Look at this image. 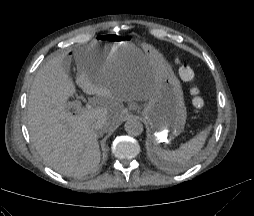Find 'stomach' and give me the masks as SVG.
<instances>
[{"label":"stomach","mask_w":254,"mask_h":216,"mask_svg":"<svg viewBox=\"0 0 254 216\" xmlns=\"http://www.w3.org/2000/svg\"><path fill=\"white\" fill-rule=\"evenodd\" d=\"M88 72L95 79L102 72L124 70L146 65L154 79L153 91L142 116L151 127L154 145H167L180 135L186 123L187 110L180 81L171 66L153 47L139 48L116 35H101L93 41Z\"/></svg>","instance_id":"stomach-1"}]
</instances>
